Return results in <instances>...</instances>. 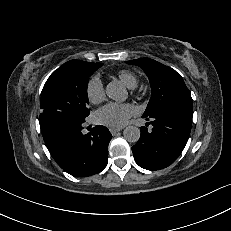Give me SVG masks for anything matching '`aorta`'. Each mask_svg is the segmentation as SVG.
Segmentation results:
<instances>
[{
  "label": "aorta",
  "mask_w": 231,
  "mask_h": 231,
  "mask_svg": "<svg viewBox=\"0 0 231 231\" xmlns=\"http://www.w3.org/2000/svg\"><path fill=\"white\" fill-rule=\"evenodd\" d=\"M106 94L115 101H124L128 96L126 89L118 81H112L107 85ZM123 135L128 142L136 143L140 138L141 132L136 126H127L123 131Z\"/></svg>",
  "instance_id": "aorta-1"
}]
</instances>
